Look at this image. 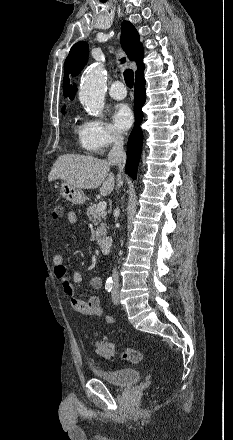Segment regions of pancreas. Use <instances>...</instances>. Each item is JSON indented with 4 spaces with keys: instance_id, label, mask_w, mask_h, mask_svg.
I'll return each instance as SVG.
<instances>
[{
    "instance_id": "obj_1",
    "label": "pancreas",
    "mask_w": 233,
    "mask_h": 440,
    "mask_svg": "<svg viewBox=\"0 0 233 440\" xmlns=\"http://www.w3.org/2000/svg\"><path fill=\"white\" fill-rule=\"evenodd\" d=\"M86 215L89 217L92 223L98 225L96 228V240L99 242L101 238L106 235V225L103 223L106 212L104 210H98V206L96 204H91L87 208Z\"/></svg>"
}]
</instances>
